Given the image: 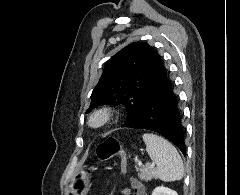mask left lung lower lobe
Listing matches in <instances>:
<instances>
[{"label":"left lung lower lobe","instance_id":"0a47b994","mask_svg":"<svg viewBox=\"0 0 240 195\" xmlns=\"http://www.w3.org/2000/svg\"><path fill=\"white\" fill-rule=\"evenodd\" d=\"M122 127L155 131L173 142L185 154L184 130L178 99L169 77Z\"/></svg>","mask_w":240,"mask_h":195}]
</instances>
